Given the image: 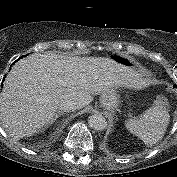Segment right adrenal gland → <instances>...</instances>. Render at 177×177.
Segmentation results:
<instances>
[{"mask_svg": "<svg viewBox=\"0 0 177 177\" xmlns=\"http://www.w3.org/2000/svg\"><path fill=\"white\" fill-rule=\"evenodd\" d=\"M61 115V113L56 114L55 120ZM53 124V122L51 123Z\"/></svg>", "mask_w": 177, "mask_h": 177, "instance_id": "1", "label": "right adrenal gland"}]
</instances>
